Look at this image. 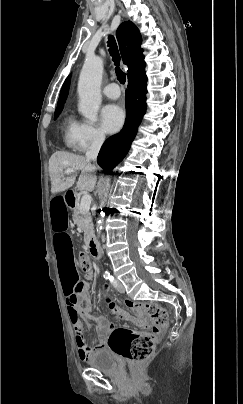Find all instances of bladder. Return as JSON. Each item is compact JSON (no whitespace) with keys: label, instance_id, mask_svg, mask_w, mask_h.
<instances>
[{"label":"bladder","instance_id":"obj_1","mask_svg":"<svg viewBox=\"0 0 243 404\" xmlns=\"http://www.w3.org/2000/svg\"><path fill=\"white\" fill-rule=\"evenodd\" d=\"M86 363L100 372L112 374L118 371L119 364L113 353L107 348H97L90 352Z\"/></svg>","mask_w":243,"mask_h":404}]
</instances>
